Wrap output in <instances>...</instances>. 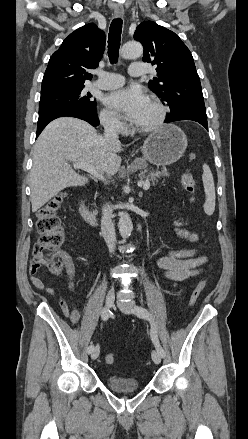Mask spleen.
<instances>
[{"label":"spleen","instance_id":"1","mask_svg":"<svg viewBox=\"0 0 248 439\" xmlns=\"http://www.w3.org/2000/svg\"><path fill=\"white\" fill-rule=\"evenodd\" d=\"M202 181L204 186V192L206 201L204 204V210L207 214H212L215 209V186L212 172L207 164L203 165Z\"/></svg>","mask_w":248,"mask_h":439}]
</instances>
